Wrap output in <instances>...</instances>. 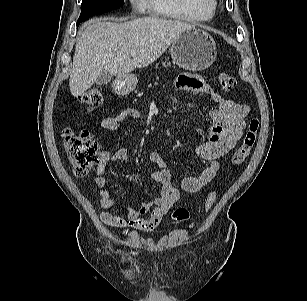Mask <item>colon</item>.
Segmentation results:
<instances>
[{"mask_svg": "<svg viewBox=\"0 0 307 301\" xmlns=\"http://www.w3.org/2000/svg\"><path fill=\"white\" fill-rule=\"evenodd\" d=\"M217 81L221 88L226 91L233 90L236 87L235 78L226 72H220L217 76ZM79 100L88 109L93 110L102 104L103 97L98 88H90L80 95ZM259 125L260 122L257 117H252L248 121L242 143L231 157V164L233 166L242 164L250 154L257 140ZM63 141L75 175H88L95 164L101 160L98 144L88 130L74 131L72 129H65ZM216 198V191H212L206 196L203 206L204 212H208L213 207ZM189 216V212L181 208L177 209L172 217L176 221H186L189 219Z\"/></svg>", "mask_w": 307, "mask_h": 301, "instance_id": "1", "label": "colon"}]
</instances>
